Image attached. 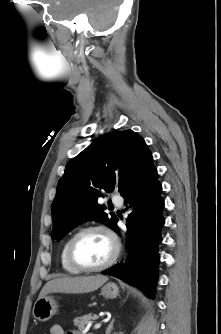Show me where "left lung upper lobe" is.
<instances>
[{"instance_id":"obj_1","label":"left lung upper lobe","mask_w":221,"mask_h":334,"mask_svg":"<svg viewBox=\"0 0 221 334\" xmlns=\"http://www.w3.org/2000/svg\"><path fill=\"white\" fill-rule=\"evenodd\" d=\"M152 160L144 139L132 130L107 133L73 158L57 185L52 203V239L61 240L78 224L95 220L112 228L117 217L98 204L104 192L121 195Z\"/></svg>"}]
</instances>
